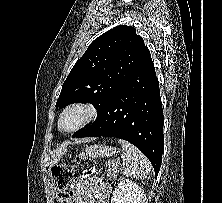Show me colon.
<instances>
[{"instance_id": "colon-1", "label": "colon", "mask_w": 222, "mask_h": 203, "mask_svg": "<svg viewBox=\"0 0 222 203\" xmlns=\"http://www.w3.org/2000/svg\"><path fill=\"white\" fill-rule=\"evenodd\" d=\"M95 172V168L90 166L83 174V179L88 180ZM53 183L59 203H73V193L71 189L73 179V168L69 164H61L54 167Z\"/></svg>"}]
</instances>
